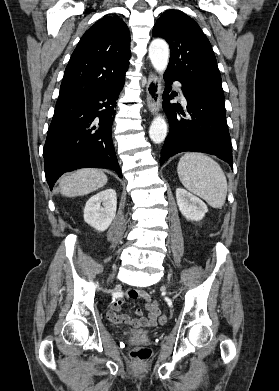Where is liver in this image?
Segmentation results:
<instances>
[{
	"label": "liver",
	"mask_w": 279,
	"mask_h": 391,
	"mask_svg": "<svg viewBox=\"0 0 279 391\" xmlns=\"http://www.w3.org/2000/svg\"><path fill=\"white\" fill-rule=\"evenodd\" d=\"M107 181V176L101 170L83 168L64 176L59 182V189L63 196L76 197L98 190Z\"/></svg>",
	"instance_id": "obj_1"
}]
</instances>
